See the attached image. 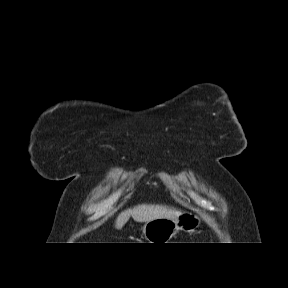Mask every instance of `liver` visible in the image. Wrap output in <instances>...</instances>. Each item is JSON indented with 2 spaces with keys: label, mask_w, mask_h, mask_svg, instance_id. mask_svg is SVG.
Masks as SVG:
<instances>
[{
  "label": "liver",
  "mask_w": 288,
  "mask_h": 288,
  "mask_svg": "<svg viewBox=\"0 0 288 288\" xmlns=\"http://www.w3.org/2000/svg\"><path fill=\"white\" fill-rule=\"evenodd\" d=\"M181 211L166 205L142 204L121 212L115 222L116 229H121L132 217L136 222H147L157 218H176Z\"/></svg>",
  "instance_id": "1"
}]
</instances>
